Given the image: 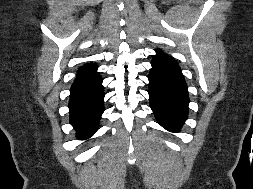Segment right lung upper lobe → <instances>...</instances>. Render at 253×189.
Here are the masks:
<instances>
[{"label":"right lung upper lobe","mask_w":253,"mask_h":189,"mask_svg":"<svg viewBox=\"0 0 253 189\" xmlns=\"http://www.w3.org/2000/svg\"><path fill=\"white\" fill-rule=\"evenodd\" d=\"M97 65L95 64H88L82 68L79 69L78 71V77L77 78H90L99 75L96 70H97Z\"/></svg>","instance_id":"cb5924a9"}]
</instances>
